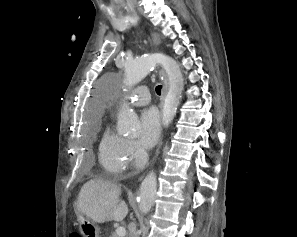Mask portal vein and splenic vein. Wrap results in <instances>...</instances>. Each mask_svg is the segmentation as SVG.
<instances>
[{"label":"portal vein and splenic vein","mask_w":297,"mask_h":237,"mask_svg":"<svg viewBox=\"0 0 297 237\" xmlns=\"http://www.w3.org/2000/svg\"><path fill=\"white\" fill-rule=\"evenodd\" d=\"M116 234L118 237H124L126 235V230L123 227H118L116 229Z\"/></svg>","instance_id":"18ae733b"}]
</instances>
